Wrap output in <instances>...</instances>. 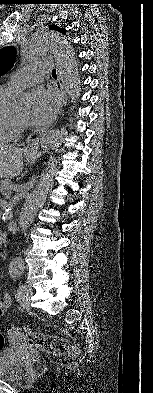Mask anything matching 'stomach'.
I'll return each instance as SVG.
<instances>
[{"instance_id":"obj_1","label":"stomach","mask_w":153,"mask_h":393,"mask_svg":"<svg viewBox=\"0 0 153 393\" xmlns=\"http://www.w3.org/2000/svg\"><path fill=\"white\" fill-rule=\"evenodd\" d=\"M23 154H24L25 159L29 163H34L37 160L38 156H39L38 151L35 150V149L34 150H27V149H25Z\"/></svg>"}]
</instances>
